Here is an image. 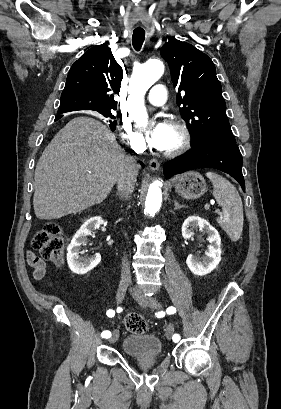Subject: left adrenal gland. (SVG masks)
I'll use <instances>...</instances> for the list:
<instances>
[{"label": "left adrenal gland", "instance_id": "1", "mask_svg": "<svg viewBox=\"0 0 281 409\" xmlns=\"http://www.w3.org/2000/svg\"><path fill=\"white\" fill-rule=\"evenodd\" d=\"M174 202V211H177V209H182V207H184V205H179V202H177V200H173Z\"/></svg>", "mask_w": 281, "mask_h": 409}]
</instances>
